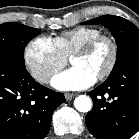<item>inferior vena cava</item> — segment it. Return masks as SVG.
Returning a JSON list of instances; mask_svg holds the SVG:
<instances>
[{"mask_svg": "<svg viewBox=\"0 0 139 139\" xmlns=\"http://www.w3.org/2000/svg\"><path fill=\"white\" fill-rule=\"evenodd\" d=\"M49 77H50V75L48 73H44L41 75V80L46 81Z\"/></svg>", "mask_w": 139, "mask_h": 139, "instance_id": "obj_1", "label": "inferior vena cava"}]
</instances>
